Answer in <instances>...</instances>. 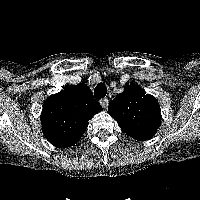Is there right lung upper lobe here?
I'll return each instance as SVG.
<instances>
[{
    "mask_svg": "<svg viewBox=\"0 0 200 200\" xmlns=\"http://www.w3.org/2000/svg\"><path fill=\"white\" fill-rule=\"evenodd\" d=\"M100 110L87 86H69L51 95L44 104L41 121L45 136L55 146H71L79 141L88 120Z\"/></svg>",
    "mask_w": 200,
    "mask_h": 200,
    "instance_id": "1",
    "label": "right lung upper lobe"
}]
</instances>
